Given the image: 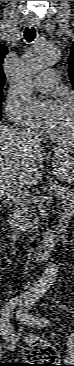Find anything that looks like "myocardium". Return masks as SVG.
Listing matches in <instances>:
<instances>
[{
  "label": "myocardium",
  "instance_id": "1",
  "mask_svg": "<svg viewBox=\"0 0 74 366\" xmlns=\"http://www.w3.org/2000/svg\"><path fill=\"white\" fill-rule=\"evenodd\" d=\"M65 103L70 107L71 114H72V121H73V131L68 137H62L56 134H51V138L59 143L65 144V145H73L74 144V103L72 100L67 99L65 100Z\"/></svg>",
  "mask_w": 74,
  "mask_h": 366
}]
</instances>
